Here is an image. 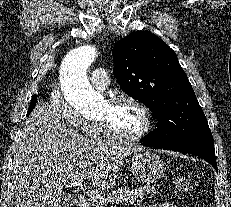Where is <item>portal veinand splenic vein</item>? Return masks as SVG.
Segmentation results:
<instances>
[{
    "label": "portal vein and splenic vein",
    "mask_w": 231,
    "mask_h": 207,
    "mask_svg": "<svg viewBox=\"0 0 231 207\" xmlns=\"http://www.w3.org/2000/svg\"><path fill=\"white\" fill-rule=\"evenodd\" d=\"M62 181H63V182H66L65 179H63ZM71 185H72L73 187H77L78 189H81V190L84 191V192L87 191V193H89V190H87V189L84 187V185L82 184V181H73V182L71 183ZM90 193H92V192H90ZM97 197H98V195H97Z\"/></svg>",
    "instance_id": "obj_1"
}]
</instances>
